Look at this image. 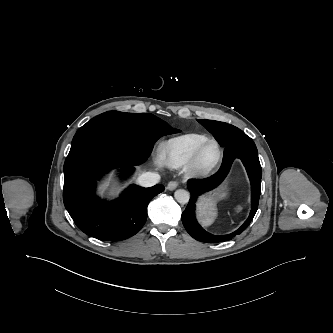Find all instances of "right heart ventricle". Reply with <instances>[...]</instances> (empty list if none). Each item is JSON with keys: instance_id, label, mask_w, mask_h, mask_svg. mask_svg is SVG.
<instances>
[{"instance_id": "1", "label": "right heart ventricle", "mask_w": 333, "mask_h": 333, "mask_svg": "<svg viewBox=\"0 0 333 333\" xmlns=\"http://www.w3.org/2000/svg\"><path fill=\"white\" fill-rule=\"evenodd\" d=\"M209 138L203 134H185L173 137L161 147V159L170 167L188 165L201 144Z\"/></svg>"}]
</instances>
